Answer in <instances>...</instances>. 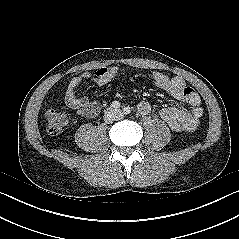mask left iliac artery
I'll list each match as a JSON object with an SVG mask.
<instances>
[{"label": "left iliac artery", "instance_id": "1", "mask_svg": "<svg viewBox=\"0 0 239 239\" xmlns=\"http://www.w3.org/2000/svg\"><path fill=\"white\" fill-rule=\"evenodd\" d=\"M123 113H124L125 115L130 114V113H131L130 107H124V108H123Z\"/></svg>", "mask_w": 239, "mask_h": 239}]
</instances>
